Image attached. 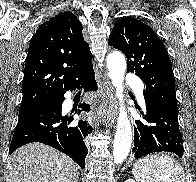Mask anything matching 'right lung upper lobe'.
I'll return each instance as SVG.
<instances>
[{
  "mask_svg": "<svg viewBox=\"0 0 196 182\" xmlns=\"http://www.w3.org/2000/svg\"><path fill=\"white\" fill-rule=\"evenodd\" d=\"M91 59L82 25L74 14L59 13L41 24L25 61L21 105L54 98L92 66Z\"/></svg>",
  "mask_w": 196,
  "mask_h": 182,
  "instance_id": "1",
  "label": "right lung upper lobe"
}]
</instances>
